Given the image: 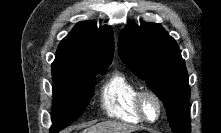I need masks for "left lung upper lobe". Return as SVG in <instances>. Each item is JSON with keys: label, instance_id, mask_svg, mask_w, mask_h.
<instances>
[{"label": "left lung upper lobe", "instance_id": "1", "mask_svg": "<svg viewBox=\"0 0 221 133\" xmlns=\"http://www.w3.org/2000/svg\"><path fill=\"white\" fill-rule=\"evenodd\" d=\"M123 63L163 101L173 133H190V87L175 40L155 23L126 27L118 43Z\"/></svg>", "mask_w": 221, "mask_h": 133}]
</instances>
